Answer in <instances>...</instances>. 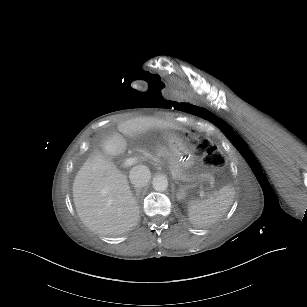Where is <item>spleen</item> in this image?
Listing matches in <instances>:
<instances>
[{"instance_id":"spleen-1","label":"spleen","mask_w":307,"mask_h":307,"mask_svg":"<svg viewBox=\"0 0 307 307\" xmlns=\"http://www.w3.org/2000/svg\"><path fill=\"white\" fill-rule=\"evenodd\" d=\"M234 190L227 185L222 187L218 193L212 194L205 200H196L189 207V214L193 224L198 227H206L221 219L234 199Z\"/></svg>"}]
</instances>
